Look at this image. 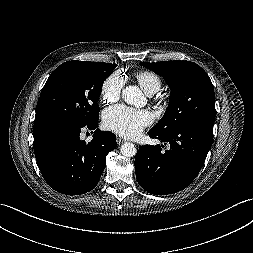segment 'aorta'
<instances>
[{
	"mask_svg": "<svg viewBox=\"0 0 253 253\" xmlns=\"http://www.w3.org/2000/svg\"><path fill=\"white\" fill-rule=\"evenodd\" d=\"M122 98L129 105L141 107L146 104V98L142 91L137 86H127L122 91ZM120 152L125 157H133L136 155L137 149L131 142H126L121 145Z\"/></svg>",
	"mask_w": 253,
	"mask_h": 253,
	"instance_id": "762f6f07",
	"label": "aorta"
}]
</instances>
